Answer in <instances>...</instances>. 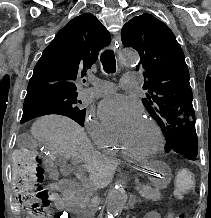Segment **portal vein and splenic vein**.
<instances>
[{
  "label": "portal vein and splenic vein",
  "instance_id": "18ae733b",
  "mask_svg": "<svg viewBox=\"0 0 211 218\" xmlns=\"http://www.w3.org/2000/svg\"><path fill=\"white\" fill-rule=\"evenodd\" d=\"M134 188H135V189H137L138 187H137V186H135Z\"/></svg>",
  "mask_w": 211,
  "mask_h": 218
}]
</instances>
